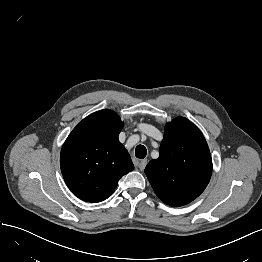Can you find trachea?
I'll return each mask as SVG.
<instances>
[{
  "label": "trachea",
  "instance_id": "trachea-1",
  "mask_svg": "<svg viewBox=\"0 0 262 262\" xmlns=\"http://www.w3.org/2000/svg\"><path fill=\"white\" fill-rule=\"evenodd\" d=\"M147 154V149L143 145H138L135 149V155L139 159H144Z\"/></svg>",
  "mask_w": 262,
  "mask_h": 262
}]
</instances>
